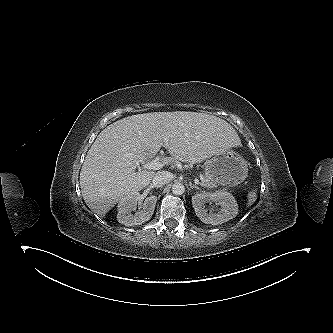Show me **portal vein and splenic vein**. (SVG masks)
<instances>
[{
  "label": "portal vein and splenic vein",
  "mask_w": 333,
  "mask_h": 333,
  "mask_svg": "<svg viewBox=\"0 0 333 333\" xmlns=\"http://www.w3.org/2000/svg\"><path fill=\"white\" fill-rule=\"evenodd\" d=\"M165 141H166V144H168L167 138L165 139ZM163 166H164V164L159 161L158 157H156L153 160H151L150 162L144 164L143 168L147 169V170H158V169L162 168ZM194 181H195V184H197V185L200 184L198 179H195Z\"/></svg>",
  "instance_id": "18ae733b"
}]
</instances>
